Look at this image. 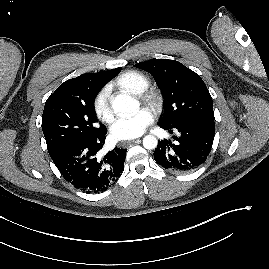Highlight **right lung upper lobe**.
Here are the masks:
<instances>
[{
	"instance_id": "1",
	"label": "right lung upper lobe",
	"mask_w": 269,
	"mask_h": 269,
	"mask_svg": "<svg viewBox=\"0 0 269 269\" xmlns=\"http://www.w3.org/2000/svg\"><path fill=\"white\" fill-rule=\"evenodd\" d=\"M121 68L109 71L83 74L62 83L52 95L67 93L81 89H101L110 79L120 72Z\"/></svg>"
}]
</instances>
